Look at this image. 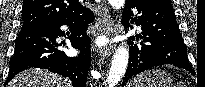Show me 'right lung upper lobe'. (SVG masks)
Here are the masks:
<instances>
[{"instance_id":"1","label":"right lung upper lobe","mask_w":205,"mask_h":87,"mask_svg":"<svg viewBox=\"0 0 205 87\" xmlns=\"http://www.w3.org/2000/svg\"><path fill=\"white\" fill-rule=\"evenodd\" d=\"M83 8L78 0H24L21 30L65 20Z\"/></svg>"}]
</instances>
